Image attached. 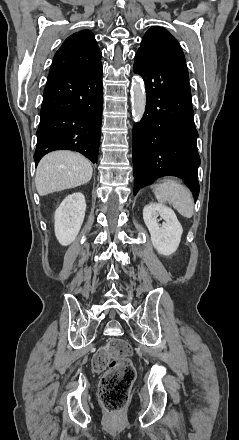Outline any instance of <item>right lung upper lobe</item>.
I'll use <instances>...</instances> for the list:
<instances>
[{
	"instance_id": "obj_1",
	"label": "right lung upper lobe",
	"mask_w": 239,
	"mask_h": 440,
	"mask_svg": "<svg viewBox=\"0 0 239 440\" xmlns=\"http://www.w3.org/2000/svg\"><path fill=\"white\" fill-rule=\"evenodd\" d=\"M101 66V52L93 33L82 30L64 41L54 56L49 74L89 73Z\"/></svg>"
}]
</instances>
